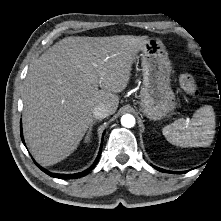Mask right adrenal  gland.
I'll use <instances>...</instances> for the list:
<instances>
[{"mask_svg": "<svg viewBox=\"0 0 221 221\" xmlns=\"http://www.w3.org/2000/svg\"><path fill=\"white\" fill-rule=\"evenodd\" d=\"M96 122H97V121L95 120V121H92V123L90 124L89 130H88V132H87V134H86V137H85V142L90 141L92 128H93V126L95 125Z\"/></svg>", "mask_w": 221, "mask_h": 221, "instance_id": "right-adrenal-gland-1", "label": "right adrenal gland"}]
</instances>
